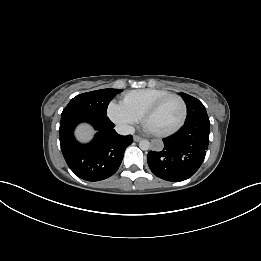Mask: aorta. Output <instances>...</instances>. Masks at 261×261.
<instances>
[{
  "label": "aorta",
  "instance_id": "762f6f07",
  "mask_svg": "<svg viewBox=\"0 0 261 261\" xmlns=\"http://www.w3.org/2000/svg\"><path fill=\"white\" fill-rule=\"evenodd\" d=\"M139 147H140V149H142V150H148V149L151 147V144H150V142L147 141V140H141V141L139 142Z\"/></svg>",
  "mask_w": 261,
  "mask_h": 261
}]
</instances>
